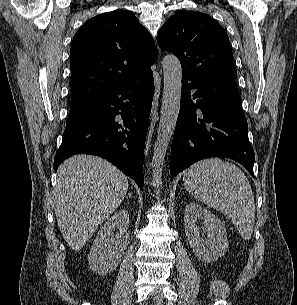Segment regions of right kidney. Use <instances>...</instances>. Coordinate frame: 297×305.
Masks as SVG:
<instances>
[{"mask_svg": "<svg viewBox=\"0 0 297 305\" xmlns=\"http://www.w3.org/2000/svg\"><path fill=\"white\" fill-rule=\"evenodd\" d=\"M116 229L119 233H115ZM129 239V214L127 210L120 209L107 220L91 246L88 260L92 271L107 274L114 270L121 261Z\"/></svg>", "mask_w": 297, "mask_h": 305, "instance_id": "right-kidney-1", "label": "right kidney"}]
</instances>
